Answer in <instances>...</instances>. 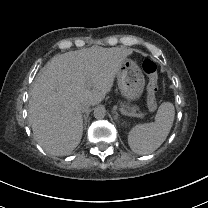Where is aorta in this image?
Segmentation results:
<instances>
[{
    "label": "aorta",
    "mask_w": 208,
    "mask_h": 208,
    "mask_svg": "<svg viewBox=\"0 0 208 208\" xmlns=\"http://www.w3.org/2000/svg\"><path fill=\"white\" fill-rule=\"evenodd\" d=\"M105 113H106V110H105V108L103 106L96 107L94 109V112H93L94 117L96 119H102V118H104L105 117Z\"/></svg>",
    "instance_id": "762f6f07"
}]
</instances>
